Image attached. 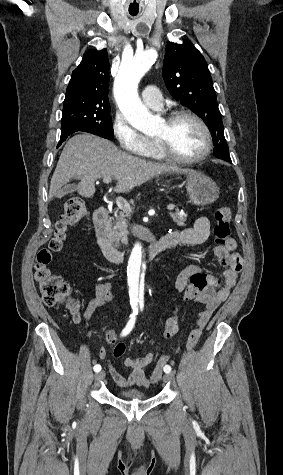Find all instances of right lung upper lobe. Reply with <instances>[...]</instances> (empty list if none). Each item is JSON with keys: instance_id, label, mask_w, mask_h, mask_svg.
<instances>
[{"instance_id": "obj_1", "label": "right lung upper lobe", "mask_w": 283, "mask_h": 475, "mask_svg": "<svg viewBox=\"0 0 283 475\" xmlns=\"http://www.w3.org/2000/svg\"><path fill=\"white\" fill-rule=\"evenodd\" d=\"M109 62L106 49L88 50L73 71L66 98L108 99Z\"/></svg>"}]
</instances>
